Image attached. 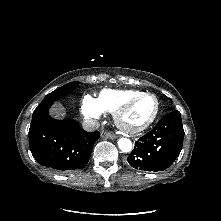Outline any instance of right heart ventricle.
<instances>
[{
  "label": "right heart ventricle",
  "mask_w": 221,
  "mask_h": 221,
  "mask_svg": "<svg viewBox=\"0 0 221 221\" xmlns=\"http://www.w3.org/2000/svg\"><path fill=\"white\" fill-rule=\"evenodd\" d=\"M140 93L142 92L139 90L104 89L96 98V101L103 112L114 113L124 101Z\"/></svg>",
  "instance_id": "e07e8e85"
}]
</instances>
